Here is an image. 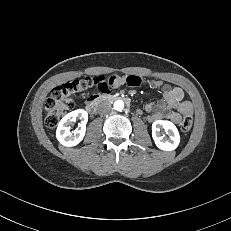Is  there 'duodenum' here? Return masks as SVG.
Returning a JSON list of instances; mask_svg holds the SVG:
<instances>
[{
    "label": "duodenum",
    "mask_w": 231,
    "mask_h": 231,
    "mask_svg": "<svg viewBox=\"0 0 231 231\" xmlns=\"http://www.w3.org/2000/svg\"><path fill=\"white\" fill-rule=\"evenodd\" d=\"M119 98H120V96H118V95L105 93V94L101 95L99 98L91 100L86 105V109L90 114H94L101 104L109 102V101H114V100H117ZM124 100L126 102H129V99L127 97H125Z\"/></svg>",
    "instance_id": "obj_1"
}]
</instances>
